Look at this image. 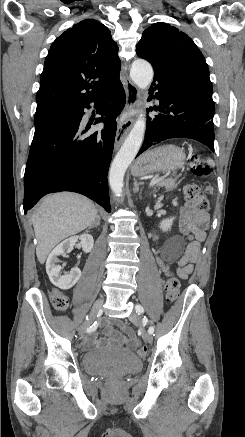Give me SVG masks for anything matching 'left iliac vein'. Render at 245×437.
Here are the masks:
<instances>
[{"instance_id": "4c4485c4", "label": "left iliac vein", "mask_w": 245, "mask_h": 437, "mask_svg": "<svg viewBox=\"0 0 245 437\" xmlns=\"http://www.w3.org/2000/svg\"><path fill=\"white\" fill-rule=\"evenodd\" d=\"M129 320L136 325H141L139 315L136 311L130 314ZM142 337L148 343H151L153 340L152 335L144 328L142 330Z\"/></svg>"}]
</instances>
